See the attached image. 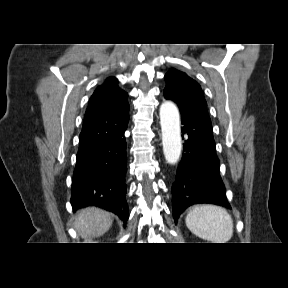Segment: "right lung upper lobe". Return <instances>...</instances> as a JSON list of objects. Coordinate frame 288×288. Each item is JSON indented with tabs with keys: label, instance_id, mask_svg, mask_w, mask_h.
<instances>
[{
	"label": "right lung upper lobe",
	"instance_id": "cb5924a9",
	"mask_svg": "<svg viewBox=\"0 0 288 288\" xmlns=\"http://www.w3.org/2000/svg\"><path fill=\"white\" fill-rule=\"evenodd\" d=\"M128 94L117 85V79L108 78L97 87L89 100L79 138V151L107 141L128 125Z\"/></svg>",
	"mask_w": 288,
	"mask_h": 288
}]
</instances>
